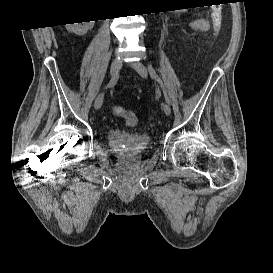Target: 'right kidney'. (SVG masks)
<instances>
[{"mask_svg": "<svg viewBox=\"0 0 273 273\" xmlns=\"http://www.w3.org/2000/svg\"><path fill=\"white\" fill-rule=\"evenodd\" d=\"M82 24H84V25H81V23H75V25H77V26L72 27L71 31H73L76 34L83 35V34L87 33L88 30L93 28L94 21L83 22Z\"/></svg>", "mask_w": 273, "mask_h": 273, "instance_id": "ca27d5eb", "label": "right kidney"}]
</instances>
